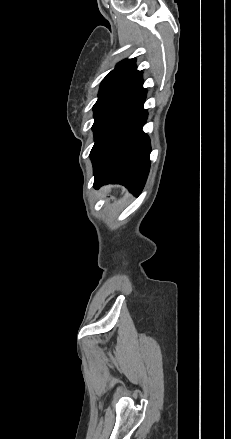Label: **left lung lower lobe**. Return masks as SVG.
Listing matches in <instances>:
<instances>
[{
  "instance_id": "left-lung-lower-lobe-1",
  "label": "left lung lower lobe",
  "mask_w": 231,
  "mask_h": 439,
  "mask_svg": "<svg viewBox=\"0 0 231 439\" xmlns=\"http://www.w3.org/2000/svg\"><path fill=\"white\" fill-rule=\"evenodd\" d=\"M142 84L93 126L95 144L90 157L97 188L119 183L138 195L144 187L150 169L151 145L142 131L147 119L143 109L146 89Z\"/></svg>"
}]
</instances>
